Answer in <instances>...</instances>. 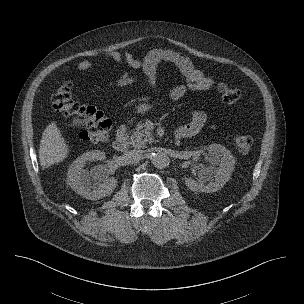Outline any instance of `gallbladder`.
I'll return each instance as SVG.
<instances>
[{
  "label": "gallbladder",
  "instance_id": "gallbladder-1",
  "mask_svg": "<svg viewBox=\"0 0 304 304\" xmlns=\"http://www.w3.org/2000/svg\"><path fill=\"white\" fill-rule=\"evenodd\" d=\"M81 124H82V120H80L78 118L73 119V125L74 126H81Z\"/></svg>",
  "mask_w": 304,
  "mask_h": 304
}]
</instances>
